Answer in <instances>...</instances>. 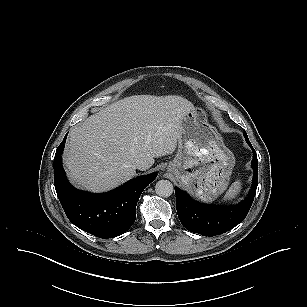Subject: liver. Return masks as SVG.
Here are the masks:
<instances>
[{"instance_id": "liver-1", "label": "liver", "mask_w": 307, "mask_h": 307, "mask_svg": "<svg viewBox=\"0 0 307 307\" xmlns=\"http://www.w3.org/2000/svg\"><path fill=\"white\" fill-rule=\"evenodd\" d=\"M194 108L180 96L134 95L88 117L69 133L64 164L71 182L92 192H105L136 174L134 163L149 168L155 157L172 154L181 120Z\"/></svg>"}]
</instances>
